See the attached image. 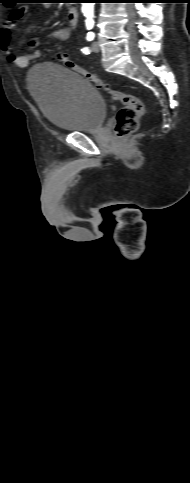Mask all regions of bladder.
I'll return each instance as SVG.
<instances>
[{"mask_svg": "<svg viewBox=\"0 0 190 483\" xmlns=\"http://www.w3.org/2000/svg\"><path fill=\"white\" fill-rule=\"evenodd\" d=\"M27 84L44 116L55 127L92 132L103 125L106 103L79 73L56 63H41L30 70Z\"/></svg>", "mask_w": 190, "mask_h": 483, "instance_id": "bladder-1", "label": "bladder"}]
</instances>
